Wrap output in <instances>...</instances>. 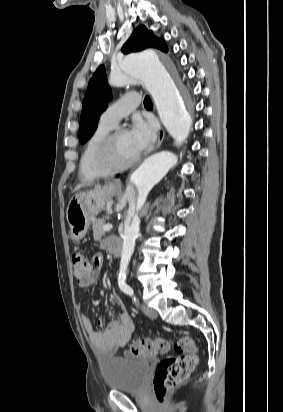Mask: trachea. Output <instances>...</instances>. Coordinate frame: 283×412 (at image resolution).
<instances>
[{
	"mask_svg": "<svg viewBox=\"0 0 283 412\" xmlns=\"http://www.w3.org/2000/svg\"><path fill=\"white\" fill-rule=\"evenodd\" d=\"M144 106H145V107H150V106H152V101H151V99H150L148 96L145 97Z\"/></svg>",
	"mask_w": 283,
	"mask_h": 412,
	"instance_id": "3493384b",
	"label": "trachea"
}]
</instances>
